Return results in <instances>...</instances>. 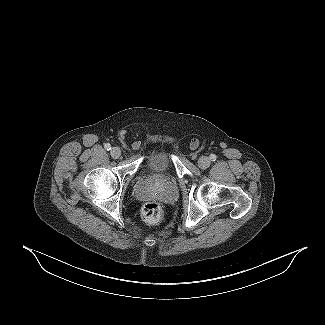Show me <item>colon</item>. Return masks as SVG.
<instances>
[{"mask_svg": "<svg viewBox=\"0 0 325 325\" xmlns=\"http://www.w3.org/2000/svg\"><path fill=\"white\" fill-rule=\"evenodd\" d=\"M142 217L150 224L158 223L162 219L163 209L160 203L149 201L142 207Z\"/></svg>", "mask_w": 325, "mask_h": 325, "instance_id": "1", "label": "colon"}]
</instances>
